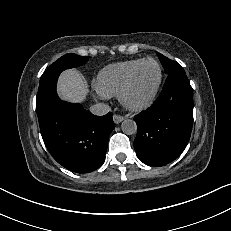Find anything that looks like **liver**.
Here are the masks:
<instances>
[{
	"label": "liver",
	"instance_id": "liver-1",
	"mask_svg": "<svg viewBox=\"0 0 231 231\" xmlns=\"http://www.w3.org/2000/svg\"><path fill=\"white\" fill-rule=\"evenodd\" d=\"M58 94L68 102H82L87 94L84 77L77 70H66L61 73L58 81Z\"/></svg>",
	"mask_w": 231,
	"mask_h": 231
}]
</instances>
